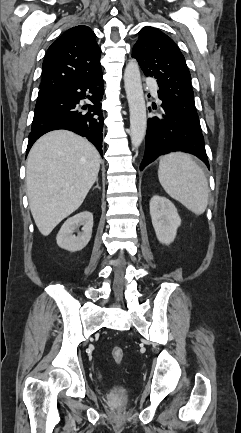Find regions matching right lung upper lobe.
Returning a JSON list of instances; mask_svg holds the SVG:
<instances>
[{
	"instance_id": "1",
	"label": "right lung upper lobe",
	"mask_w": 241,
	"mask_h": 433,
	"mask_svg": "<svg viewBox=\"0 0 241 433\" xmlns=\"http://www.w3.org/2000/svg\"><path fill=\"white\" fill-rule=\"evenodd\" d=\"M94 32L79 25L67 30L48 48L42 66L39 95H49L59 87L85 81L102 73L101 49Z\"/></svg>"
}]
</instances>
